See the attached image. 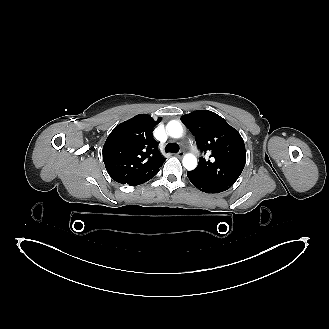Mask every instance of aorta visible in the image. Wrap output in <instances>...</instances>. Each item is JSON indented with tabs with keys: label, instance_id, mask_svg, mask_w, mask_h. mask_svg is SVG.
Instances as JSON below:
<instances>
[{
	"label": "aorta",
	"instance_id": "762f6f07",
	"mask_svg": "<svg viewBox=\"0 0 329 329\" xmlns=\"http://www.w3.org/2000/svg\"><path fill=\"white\" fill-rule=\"evenodd\" d=\"M166 130L172 138H180L183 135V127L179 121L172 120L166 125ZM183 166L187 170L197 167V158L193 154H186L182 160Z\"/></svg>",
	"mask_w": 329,
	"mask_h": 329
}]
</instances>
